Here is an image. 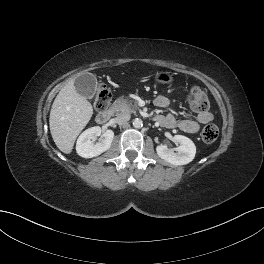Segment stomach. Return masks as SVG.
I'll list each match as a JSON object with an SVG mask.
<instances>
[{
  "label": "stomach",
  "mask_w": 264,
  "mask_h": 264,
  "mask_svg": "<svg viewBox=\"0 0 264 264\" xmlns=\"http://www.w3.org/2000/svg\"><path fill=\"white\" fill-rule=\"evenodd\" d=\"M154 78L156 82L161 84H171L174 81L173 75L167 71H158Z\"/></svg>",
  "instance_id": "1"
}]
</instances>
